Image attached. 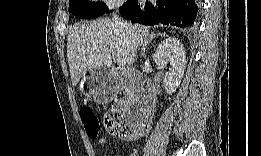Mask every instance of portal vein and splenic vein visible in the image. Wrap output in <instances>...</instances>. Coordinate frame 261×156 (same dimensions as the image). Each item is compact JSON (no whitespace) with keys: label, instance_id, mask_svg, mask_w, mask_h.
Wrapping results in <instances>:
<instances>
[{"label":"portal vein and splenic vein","instance_id":"1","mask_svg":"<svg viewBox=\"0 0 261 156\" xmlns=\"http://www.w3.org/2000/svg\"><path fill=\"white\" fill-rule=\"evenodd\" d=\"M116 61L117 64L122 67L126 64V61L124 59L117 58Z\"/></svg>","mask_w":261,"mask_h":156}]
</instances>
